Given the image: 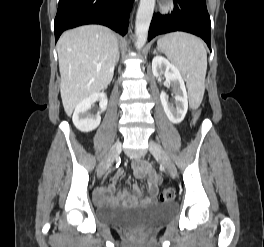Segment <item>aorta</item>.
<instances>
[{"instance_id":"762f6f07","label":"aorta","mask_w":264,"mask_h":247,"mask_svg":"<svg viewBox=\"0 0 264 247\" xmlns=\"http://www.w3.org/2000/svg\"><path fill=\"white\" fill-rule=\"evenodd\" d=\"M154 8L155 0H140L135 22V46L138 50L146 43Z\"/></svg>"}]
</instances>
